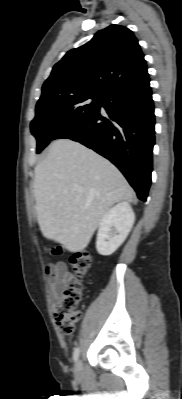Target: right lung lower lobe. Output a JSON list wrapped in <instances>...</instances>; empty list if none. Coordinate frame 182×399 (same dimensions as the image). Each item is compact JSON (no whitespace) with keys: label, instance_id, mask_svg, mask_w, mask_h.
<instances>
[{"label":"right lung lower lobe","instance_id":"right-lung-lower-lobe-1","mask_svg":"<svg viewBox=\"0 0 182 399\" xmlns=\"http://www.w3.org/2000/svg\"><path fill=\"white\" fill-rule=\"evenodd\" d=\"M149 77L122 85L103 96L101 110L57 134L82 143L109 159L127 178L139 199L146 201L151 184L154 104Z\"/></svg>","mask_w":182,"mask_h":399}]
</instances>
